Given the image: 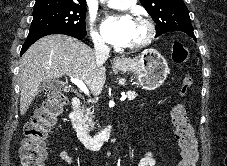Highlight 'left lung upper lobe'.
I'll return each mask as SVG.
<instances>
[{"instance_id": "1", "label": "left lung upper lobe", "mask_w": 227, "mask_h": 166, "mask_svg": "<svg viewBox=\"0 0 227 166\" xmlns=\"http://www.w3.org/2000/svg\"><path fill=\"white\" fill-rule=\"evenodd\" d=\"M157 24L156 36L171 31L193 32L188 9L183 0H140Z\"/></svg>"}]
</instances>
